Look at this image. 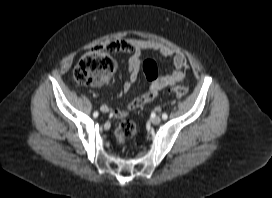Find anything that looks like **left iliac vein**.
I'll return each instance as SVG.
<instances>
[{
    "label": "left iliac vein",
    "instance_id": "left-iliac-vein-1",
    "mask_svg": "<svg viewBox=\"0 0 272 198\" xmlns=\"http://www.w3.org/2000/svg\"><path fill=\"white\" fill-rule=\"evenodd\" d=\"M151 122L155 125L159 124L161 122V118L159 116H155L151 119Z\"/></svg>",
    "mask_w": 272,
    "mask_h": 198
}]
</instances>
